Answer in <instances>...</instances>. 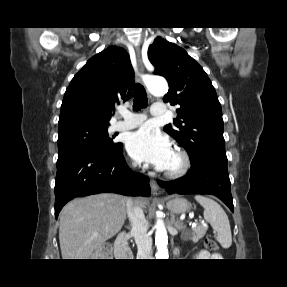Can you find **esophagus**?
Listing matches in <instances>:
<instances>
[{
	"label": "esophagus",
	"mask_w": 287,
	"mask_h": 287,
	"mask_svg": "<svg viewBox=\"0 0 287 287\" xmlns=\"http://www.w3.org/2000/svg\"><path fill=\"white\" fill-rule=\"evenodd\" d=\"M136 58H137V81L140 83H143L144 80V66H143V62L141 59V54H140V49L139 47H136ZM150 187H151V191L153 194H159V186L156 182V180L151 179L150 180Z\"/></svg>",
	"instance_id": "34e87169"
}]
</instances>
